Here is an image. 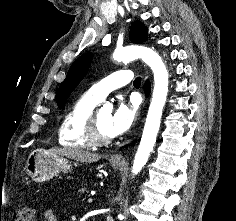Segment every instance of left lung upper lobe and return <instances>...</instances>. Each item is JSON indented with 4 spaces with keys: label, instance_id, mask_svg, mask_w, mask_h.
<instances>
[{
    "label": "left lung upper lobe",
    "instance_id": "5c2ea615",
    "mask_svg": "<svg viewBox=\"0 0 236 221\" xmlns=\"http://www.w3.org/2000/svg\"><path fill=\"white\" fill-rule=\"evenodd\" d=\"M147 38L148 34L144 24L139 21L133 23L130 28V40L133 43H142L146 41ZM92 59V53L83 54L70 67L67 77L59 87L56 98L57 104L60 108L64 107L65 100L86 75Z\"/></svg>",
    "mask_w": 236,
    "mask_h": 221
}]
</instances>
